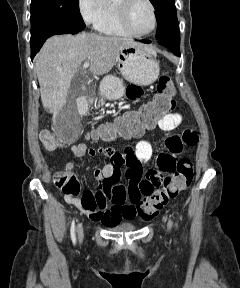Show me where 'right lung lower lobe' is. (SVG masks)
Instances as JSON below:
<instances>
[{"mask_svg":"<svg viewBox=\"0 0 240 288\" xmlns=\"http://www.w3.org/2000/svg\"><path fill=\"white\" fill-rule=\"evenodd\" d=\"M84 28L85 27H76V26H71V25H55L44 30L39 35V37L36 39L35 42L30 43L31 60H33L34 56L40 50L45 40L49 38L50 36L56 35V34H75L77 32L82 31Z\"/></svg>","mask_w":240,"mask_h":288,"instance_id":"obj_1","label":"right lung lower lobe"}]
</instances>
